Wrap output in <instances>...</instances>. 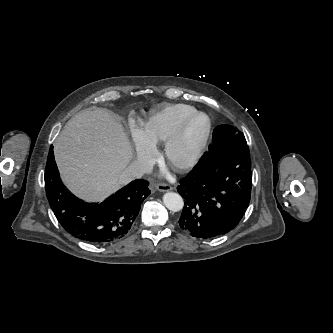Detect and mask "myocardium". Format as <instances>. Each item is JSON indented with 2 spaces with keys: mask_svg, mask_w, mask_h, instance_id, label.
I'll return each mask as SVG.
<instances>
[{
  "mask_svg": "<svg viewBox=\"0 0 333 333\" xmlns=\"http://www.w3.org/2000/svg\"><path fill=\"white\" fill-rule=\"evenodd\" d=\"M199 117L203 118L205 122L203 131L187 155L179 158L178 154L184 146L187 130L192 121ZM211 129V119L205 112L195 111L186 116L165 145L164 156L170 167L178 172H185L192 169L200 160L207 146Z\"/></svg>",
  "mask_w": 333,
  "mask_h": 333,
  "instance_id": "1",
  "label": "myocardium"
}]
</instances>
